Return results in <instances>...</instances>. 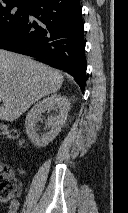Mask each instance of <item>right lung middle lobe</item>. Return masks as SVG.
<instances>
[{"instance_id": "right-lung-middle-lobe-1", "label": "right lung middle lobe", "mask_w": 128, "mask_h": 213, "mask_svg": "<svg viewBox=\"0 0 128 213\" xmlns=\"http://www.w3.org/2000/svg\"><path fill=\"white\" fill-rule=\"evenodd\" d=\"M29 6L10 4L0 6V41L27 19Z\"/></svg>"}]
</instances>
